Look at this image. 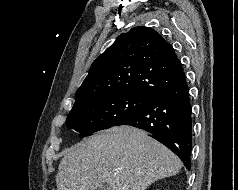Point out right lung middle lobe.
I'll return each instance as SVG.
<instances>
[{
  "label": "right lung middle lobe",
  "mask_w": 238,
  "mask_h": 190,
  "mask_svg": "<svg viewBox=\"0 0 238 190\" xmlns=\"http://www.w3.org/2000/svg\"><path fill=\"white\" fill-rule=\"evenodd\" d=\"M151 101L134 94H114L87 99L73 106L66 126L85 137L118 124L142 110Z\"/></svg>",
  "instance_id": "1"
}]
</instances>
